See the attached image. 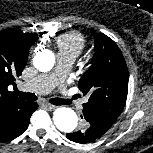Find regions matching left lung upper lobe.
I'll return each instance as SVG.
<instances>
[{"mask_svg": "<svg viewBox=\"0 0 153 153\" xmlns=\"http://www.w3.org/2000/svg\"><path fill=\"white\" fill-rule=\"evenodd\" d=\"M95 54L92 65L78 82L89 100L83 104V116L91 130L106 133L121 114L128 93V70L122 52L105 34L91 32ZM82 117V116H81Z\"/></svg>", "mask_w": 153, "mask_h": 153, "instance_id": "left-lung-upper-lobe-1", "label": "left lung upper lobe"}]
</instances>
